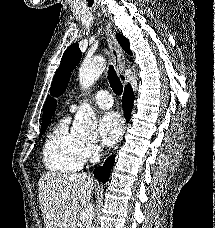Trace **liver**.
<instances>
[{"label":"liver","mask_w":215,"mask_h":228,"mask_svg":"<svg viewBox=\"0 0 215 228\" xmlns=\"http://www.w3.org/2000/svg\"><path fill=\"white\" fill-rule=\"evenodd\" d=\"M94 184L96 180L87 174L41 176L38 198L45 228H76L78 206L89 208Z\"/></svg>","instance_id":"liver-1"}]
</instances>
